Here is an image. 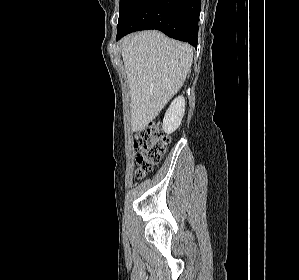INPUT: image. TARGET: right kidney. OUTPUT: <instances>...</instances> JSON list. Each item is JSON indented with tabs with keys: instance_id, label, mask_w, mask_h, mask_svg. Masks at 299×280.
<instances>
[{
	"instance_id": "right-kidney-1",
	"label": "right kidney",
	"mask_w": 299,
	"mask_h": 280,
	"mask_svg": "<svg viewBox=\"0 0 299 280\" xmlns=\"http://www.w3.org/2000/svg\"><path fill=\"white\" fill-rule=\"evenodd\" d=\"M185 113V99L183 96L175 98L163 119L162 128L165 133L171 134L179 128Z\"/></svg>"
}]
</instances>
